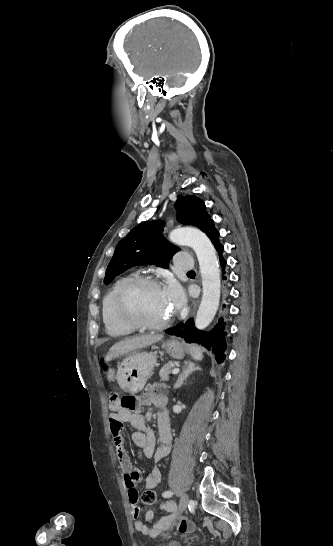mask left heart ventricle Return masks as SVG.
<instances>
[{
    "label": "left heart ventricle",
    "mask_w": 333,
    "mask_h": 546,
    "mask_svg": "<svg viewBox=\"0 0 333 546\" xmlns=\"http://www.w3.org/2000/svg\"><path fill=\"white\" fill-rule=\"evenodd\" d=\"M132 306L143 320L152 323L162 322L172 314L162 287L141 288L132 297Z\"/></svg>",
    "instance_id": "obj_1"
}]
</instances>
